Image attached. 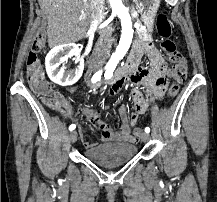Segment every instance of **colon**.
Returning <instances> with one entry per match:
<instances>
[{"label":"colon","mask_w":217,"mask_h":202,"mask_svg":"<svg viewBox=\"0 0 217 202\" xmlns=\"http://www.w3.org/2000/svg\"><path fill=\"white\" fill-rule=\"evenodd\" d=\"M157 30L161 38V48L163 53L167 56L172 64L170 70V77L176 76V79H188V62L184 57V54L177 49L175 41L172 36V24L169 20L168 10L161 9L157 15ZM48 41V36L38 35L36 36V42L32 45L31 50L28 53L26 60V76L27 80L33 88V91L43 99V102L53 107V111H58L59 104L63 103V93H53L54 86L45 80L41 71V62L38 58V52L42 48V42ZM174 74V75H173ZM171 84V83H170ZM170 88L166 90L170 98H174L180 89L181 83H172ZM144 131L138 130L136 127L131 130L132 134L138 138Z\"/></svg>","instance_id":"5ec220e1"}]
</instances>
